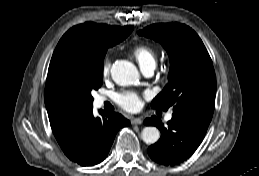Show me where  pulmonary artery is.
Masks as SVG:
<instances>
[{"mask_svg":"<svg viewBox=\"0 0 259 176\" xmlns=\"http://www.w3.org/2000/svg\"><path fill=\"white\" fill-rule=\"evenodd\" d=\"M141 69H142V72H143L144 75L151 76L154 72L155 67L154 66H148V67L141 68ZM104 101H105L104 97H99L97 99L98 104H102ZM165 119L167 121L171 120L172 119V113L171 112L167 113L166 116H165Z\"/></svg>","mask_w":259,"mask_h":176,"instance_id":"e3ab8cb5","label":"pulmonary artery"}]
</instances>
